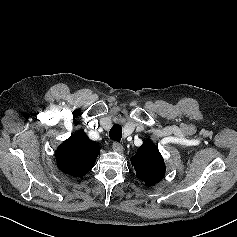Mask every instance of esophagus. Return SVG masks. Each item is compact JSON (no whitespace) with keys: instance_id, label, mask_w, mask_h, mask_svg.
<instances>
[{"instance_id":"esophagus-1","label":"esophagus","mask_w":237,"mask_h":237,"mask_svg":"<svg viewBox=\"0 0 237 237\" xmlns=\"http://www.w3.org/2000/svg\"><path fill=\"white\" fill-rule=\"evenodd\" d=\"M113 149L116 152L122 153L124 151V148L121 143L119 142H113Z\"/></svg>"}]
</instances>
